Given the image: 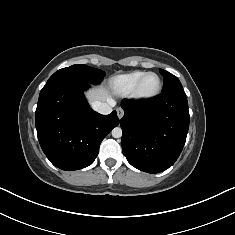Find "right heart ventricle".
Here are the masks:
<instances>
[{
    "label": "right heart ventricle",
    "mask_w": 235,
    "mask_h": 235,
    "mask_svg": "<svg viewBox=\"0 0 235 235\" xmlns=\"http://www.w3.org/2000/svg\"><path fill=\"white\" fill-rule=\"evenodd\" d=\"M144 74V71H134L118 75L112 79L111 87L118 95L129 96L132 94L137 82Z\"/></svg>",
    "instance_id": "right-heart-ventricle-1"
}]
</instances>
